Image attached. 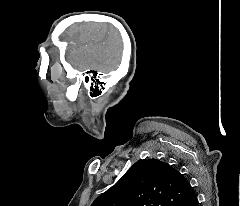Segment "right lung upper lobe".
I'll use <instances>...</instances> for the list:
<instances>
[{
    "label": "right lung upper lobe",
    "mask_w": 240,
    "mask_h": 206,
    "mask_svg": "<svg viewBox=\"0 0 240 206\" xmlns=\"http://www.w3.org/2000/svg\"><path fill=\"white\" fill-rule=\"evenodd\" d=\"M194 196L175 168L157 159L139 160L91 206H180Z\"/></svg>",
    "instance_id": "cb5924a9"
}]
</instances>
